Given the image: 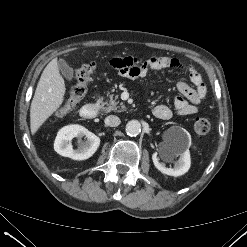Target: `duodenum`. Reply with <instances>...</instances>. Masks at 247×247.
Masks as SVG:
<instances>
[{
    "mask_svg": "<svg viewBox=\"0 0 247 247\" xmlns=\"http://www.w3.org/2000/svg\"><path fill=\"white\" fill-rule=\"evenodd\" d=\"M99 109L97 101L84 105L80 110V115L84 119H93L96 117Z\"/></svg>",
    "mask_w": 247,
    "mask_h": 247,
    "instance_id": "obj_1",
    "label": "duodenum"
}]
</instances>
